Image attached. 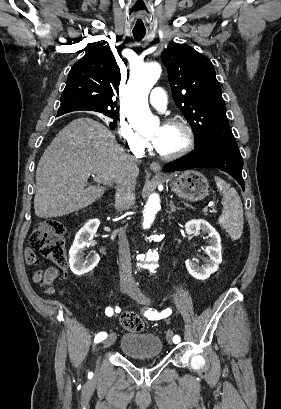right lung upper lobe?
<instances>
[{
	"label": "right lung upper lobe",
	"mask_w": 281,
	"mask_h": 409,
	"mask_svg": "<svg viewBox=\"0 0 281 409\" xmlns=\"http://www.w3.org/2000/svg\"><path fill=\"white\" fill-rule=\"evenodd\" d=\"M120 68L109 46H95L71 68L57 116L72 111H115Z\"/></svg>",
	"instance_id": "right-lung-upper-lobe-1"
}]
</instances>
